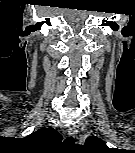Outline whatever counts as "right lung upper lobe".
Masks as SVG:
<instances>
[{
    "label": "right lung upper lobe",
    "instance_id": "right-lung-upper-lobe-1",
    "mask_svg": "<svg viewBox=\"0 0 135 153\" xmlns=\"http://www.w3.org/2000/svg\"><path fill=\"white\" fill-rule=\"evenodd\" d=\"M24 139L35 144H49L56 141H61L62 136L53 128H41L36 132L28 135Z\"/></svg>",
    "mask_w": 135,
    "mask_h": 153
}]
</instances>
